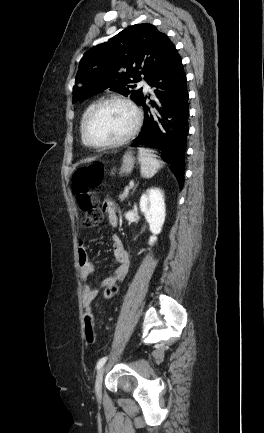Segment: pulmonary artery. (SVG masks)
Instances as JSON below:
<instances>
[{
  "instance_id": "pulmonary-artery-1",
  "label": "pulmonary artery",
  "mask_w": 264,
  "mask_h": 433,
  "mask_svg": "<svg viewBox=\"0 0 264 433\" xmlns=\"http://www.w3.org/2000/svg\"><path fill=\"white\" fill-rule=\"evenodd\" d=\"M141 85L144 87L145 90H148L150 88L146 82H141Z\"/></svg>"
}]
</instances>
